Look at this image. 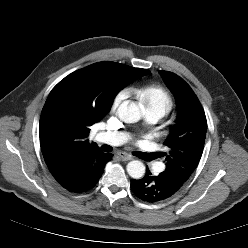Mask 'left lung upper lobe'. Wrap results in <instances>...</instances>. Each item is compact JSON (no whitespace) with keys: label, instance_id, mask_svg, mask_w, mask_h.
I'll use <instances>...</instances> for the list:
<instances>
[{"label":"left lung upper lobe","instance_id":"5c2ea615","mask_svg":"<svg viewBox=\"0 0 248 248\" xmlns=\"http://www.w3.org/2000/svg\"><path fill=\"white\" fill-rule=\"evenodd\" d=\"M159 73L173 92L178 109L177 122L164 142L170 150L163 173L180 189L196 169L202 156L207 120L198 98L182 78L164 70Z\"/></svg>","mask_w":248,"mask_h":248}]
</instances>
